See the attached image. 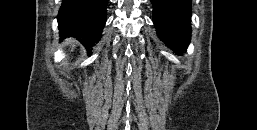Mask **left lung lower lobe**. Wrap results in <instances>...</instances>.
<instances>
[{
    "instance_id": "left-lung-lower-lobe-1",
    "label": "left lung lower lobe",
    "mask_w": 257,
    "mask_h": 130,
    "mask_svg": "<svg viewBox=\"0 0 257 130\" xmlns=\"http://www.w3.org/2000/svg\"><path fill=\"white\" fill-rule=\"evenodd\" d=\"M159 38L172 49L186 48L191 38V0H151Z\"/></svg>"
}]
</instances>
